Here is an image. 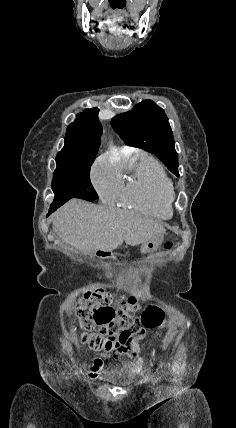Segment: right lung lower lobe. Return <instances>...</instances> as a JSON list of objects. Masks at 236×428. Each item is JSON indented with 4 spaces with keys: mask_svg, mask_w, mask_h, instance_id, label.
Here are the masks:
<instances>
[{
    "mask_svg": "<svg viewBox=\"0 0 236 428\" xmlns=\"http://www.w3.org/2000/svg\"><path fill=\"white\" fill-rule=\"evenodd\" d=\"M57 208H50L49 209V213H48V215L47 216H49L52 212H54L55 210H56Z\"/></svg>",
    "mask_w": 236,
    "mask_h": 428,
    "instance_id": "right-lung-lower-lobe-1",
    "label": "right lung lower lobe"
}]
</instances>
